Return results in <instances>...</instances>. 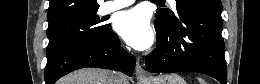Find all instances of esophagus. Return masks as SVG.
I'll return each mask as SVG.
<instances>
[{"instance_id": "esophagus-1", "label": "esophagus", "mask_w": 260, "mask_h": 84, "mask_svg": "<svg viewBox=\"0 0 260 84\" xmlns=\"http://www.w3.org/2000/svg\"><path fill=\"white\" fill-rule=\"evenodd\" d=\"M135 75L139 82L146 81L149 78V74L145 71V69L141 65L139 58L137 59Z\"/></svg>"}]
</instances>
